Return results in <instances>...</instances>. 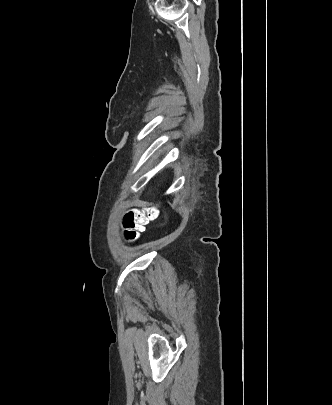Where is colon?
Here are the masks:
<instances>
[{
	"instance_id": "colon-1",
	"label": "colon",
	"mask_w": 332,
	"mask_h": 405,
	"mask_svg": "<svg viewBox=\"0 0 332 405\" xmlns=\"http://www.w3.org/2000/svg\"><path fill=\"white\" fill-rule=\"evenodd\" d=\"M156 216L157 210L154 207L128 211L123 217L125 239L128 242L136 241L144 233L146 225Z\"/></svg>"
}]
</instances>
